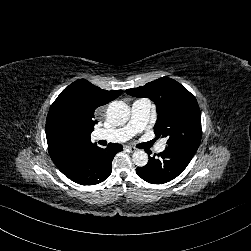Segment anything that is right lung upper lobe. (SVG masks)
Returning a JSON list of instances; mask_svg holds the SVG:
<instances>
[{"label":"right lung upper lobe","mask_w":251,"mask_h":251,"mask_svg":"<svg viewBox=\"0 0 251 251\" xmlns=\"http://www.w3.org/2000/svg\"><path fill=\"white\" fill-rule=\"evenodd\" d=\"M122 90L107 91L79 79L65 88L51 105L46 120L48 151L56 166L96 144L90 134L97 123L95 109L119 97Z\"/></svg>","instance_id":"right-lung-upper-lobe-1"}]
</instances>
